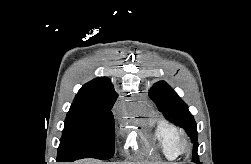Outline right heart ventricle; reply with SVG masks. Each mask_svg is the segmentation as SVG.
<instances>
[{
  "mask_svg": "<svg viewBox=\"0 0 251 164\" xmlns=\"http://www.w3.org/2000/svg\"><path fill=\"white\" fill-rule=\"evenodd\" d=\"M151 136L162 154L169 160L177 157L173 149V142L178 134L175 125L160 114H153L147 119Z\"/></svg>",
  "mask_w": 251,
  "mask_h": 164,
  "instance_id": "right-heart-ventricle-1",
  "label": "right heart ventricle"
}]
</instances>
